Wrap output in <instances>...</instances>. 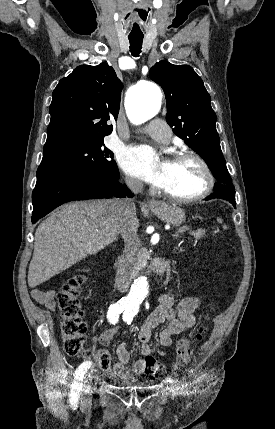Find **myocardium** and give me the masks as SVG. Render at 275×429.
Listing matches in <instances>:
<instances>
[{
  "instance_id": "f54148a6",
  "label": "myocardium",
  "mask_w": 275,
  "mask_h": 429,
  "mask_svg": "<svg viewBox=\"0 0 275 429\" xmlns=\"http://www.w3.org/2000/svg\"><path fill=\"white\" fill-rule=\"evenodd\" d=\"M173 160H193L197 162L203 170L205 176V185L199 193L191 196H176L166 192L165 190H162V194L167 199L179 203H191L206 198L212 192L215 183L214 175L208 163L200 155L191 151H181L173 156Z\"/></svg>"
}]
</instances>
